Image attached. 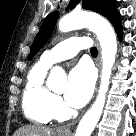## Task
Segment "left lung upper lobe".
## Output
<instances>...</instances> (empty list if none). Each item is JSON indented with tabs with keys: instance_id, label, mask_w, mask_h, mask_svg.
<instances>
[{
	"instance_id": "5c2ea615",
	"label": "left lung upper lobe",
	"mask_w": 136,
	"mask_h": 136,
	"mask_svg": "<svg viewBox=\"0 0 136 136\" xmlns=\"http://www.w3.org/2000/svg\"><path fill=\"white\" fill-rule=\"evenodd\" d=\"M78 3L79 0H71L68 5V9L74 8ZM82 6L84 9L91 10L105 16L112 23L114 28L120 23V17L113 0H83ZM58 17V12H54L49 14L44 20L34 39L28 59H31L51 36Z\"/></svg>"
}]
</instances>
